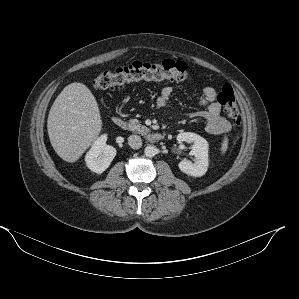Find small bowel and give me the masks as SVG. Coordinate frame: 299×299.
Listing matches in <instances>:
<instances>
[{"label": "small bowel", "instance_id": "obj_1", "mask_svg": "<svg viewBox=\"0 0 299 299\" xmlns=\"http://www.w3.org/2000/svg\"><path fill=\"white\" fill-rule=\"evenodd\" d=\"M173 94L171 87H163L157 98L156 105L159 108L167 106ZM200 105L205 109L199 112L191 113V117L202 118L206 123V131L213 135H220L230 131L231 123L221 115V106L216 100V91L212 87H206L203 90Z\"/></svg>", "mask_w": 299, "mask_h": 299}]
</instances>
